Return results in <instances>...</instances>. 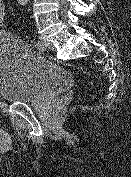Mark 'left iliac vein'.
Masks as SVG:
<instances>
[{"instance_id":"left-iliac-vein-1","label":"left iliac vein","mask_w":131,"mask_h":177,"mask_svg":"<svg viewBox=\"0 0 131 177\" xmlns=\"http://www.w3.org/2000/svg\"><path fill=\"white\" fill-rule=\"evenodd\" d=\"M39 42L42 44V47L39 50L53 49V44L47 41L45 38L40 37Z\"/></svg>"}]
</instances>
